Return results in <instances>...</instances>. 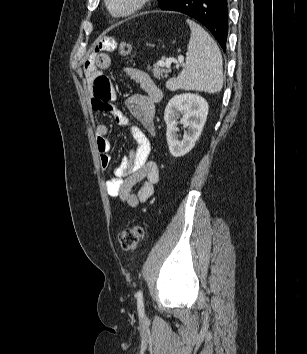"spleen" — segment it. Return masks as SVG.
Masks as SVG:
<instances>
[{
    "label": "spleen",
    "mask_w": 307,
    "mask_h": 354,
    "mask_svg": "<svg viewBox=\"0 0 307 354\" xmlns=\"http://www.w3.org/2000/svg\"><path fill=\"white\" fill-rule=\"evenodd\" d=\"M191 29L186 64L177 78L167 82L171 91L178 89L218 93L223 87V60L213 38L198 24L187 20Z\"/></svg>",
    "instance_id": "1"
}]
</instances>
